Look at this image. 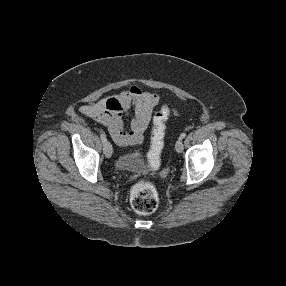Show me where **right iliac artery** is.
I'll list each match as a JSON object with an SVG mask.
<instances>
[{
	"label": "right iliac artery",
	"instance_id": "1",
	"mask_svg": "<svg viewBox=\"0 0 286 286\" xmlns=\"http://www.w3.org/2000/svg\"><path fill=\"white\" fill-rule=\"evenodd\" d=\"M100 138H101L102 143H103V146H104V149H103V150H105L106 143H107L106 135H105L104 133H101V134H100Z\"/></svg>",
	"mask_w": 286,
	"mask_h": 286
}]
</instances>
